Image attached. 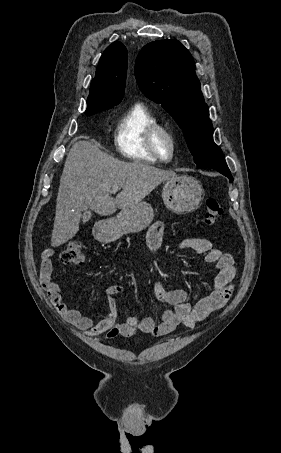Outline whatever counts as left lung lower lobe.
Masks as SVG:
<instances>
[{"instance_id":"0a47b994","label":"left lung lower lobe","mask_w":281,"mask_h":453,"mask_svg":"<svg viewBox=\"0 0 281 453\" xmlns=\"http://www.w3.org/2000/svg\"><path fill=\"white\" fill-rule=\"evenodd\" d=\"M217 170L218 172H220L221 174L225 175L226 177L229 178L230 182L233 181V177L231 175V172L230 170L227 168V169H215Z\"/></svg>"}]
</instances>
